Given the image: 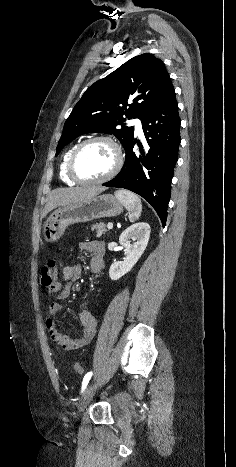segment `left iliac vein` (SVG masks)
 I'll return each mask as SVG.
<instances>
[{
  "label": "left iliac vein",
  "instance_id": "1",
  "mask_svg": "<svg viewBox=\"0 0 236 467\" xmlns=\"http://www.w3.org/2000/svg\"><path fill=\"white\" fill-rule=\"evenodd\" d=\"M96 389H97V383H92L86 388V390L84 391L78 403V414H81L84 412L85 408L92 400Z\"/></svg>",
  "mask_w": 236,
  "mask_h": 467
}]
</instances>
